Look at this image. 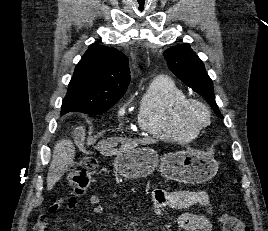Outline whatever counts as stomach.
<instances>
[{"mask_svg": "<svg viewBox=\"0 0 268 231\" xmlns=\"http://www.w3.org/2000/svg\"><path fill=\"white\" fill-rule=\"evenodd\" d=\"M218 165L214 158L192 150L169 152L159 159L154 149L145 146L122 150L114 160L115 170L124 178L149 176L159 166L165 178L189 184L210 180Z\"/></svg>", "mask_w": 268, "mask_h": 231, "instance_id": "0dacf381", "label": "stomach"}]
</instances>
